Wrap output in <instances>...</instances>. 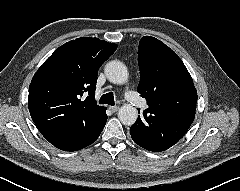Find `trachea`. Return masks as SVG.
Here are the masks:
<instances>
[{
	"label": "trachea",
	"mask_w": 240,
	"mask_h": 191,
	"mask_svg": "<svg viewBox=\"0 0 240 191\" xmlns=\"http://www.w3.org/2000/svg\"><path fill=\"white\" fill-rule=\"evenodd\" d=\"M99 102L101 104H108V105L113 106L115 104L113 93L109 92V93L102 95Z\"/></svg>",
	"instance_id": "trachea-1"
}]
</instances>
